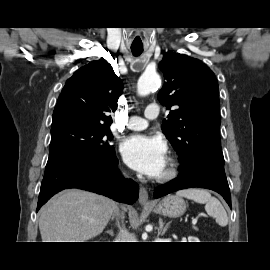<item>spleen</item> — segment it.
I'll return each mask as SVG.
<instances>
[{"instance_id":"1","label":"spleen","mask_w":270,"mask_h":270,"mask_svg":"<svg viewBox=\"0 0 270 270\" xmlns=\"http://www.w3.org/2000/svg\"><path fill=\"white\" fill-rule=\"evenodd\" d=\"M176 195L200 204H205L206 212L216 219L218 225L225 227L228 224V217L224 207L220 201L212 197L208 191L203 189H185L177 191Z\"/></svg>"}]
</instances>
